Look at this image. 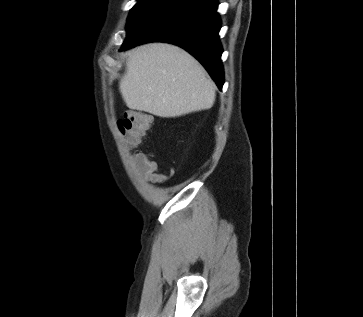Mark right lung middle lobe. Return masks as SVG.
I'll return each mask as SVG.
<instances>
[{
  "label": "right lung middle lobe",
  "instance_id": "obj_1",
  "mask_svg": "<svg viewBox=\"0 0 363 317\" xmlns=\"http://www.w3.org/2000/svg\"><path fill=\"white\" fill-rule=\"evenodd\" d=\"M182 0H139L131 9L127 21V36L124 42L134 39L139 32L160 14Z\"/></svg>",
  "mask_w": 363,
  "mask_h": 317
}]
</instances>
